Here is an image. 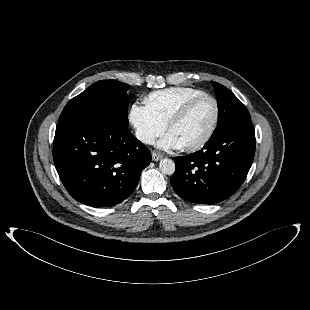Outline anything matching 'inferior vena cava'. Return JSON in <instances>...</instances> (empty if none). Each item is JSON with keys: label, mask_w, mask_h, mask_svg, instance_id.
<instances>
[{"label": "inferior vena cava", "mask_w": 310, "mask_h": 310, "mask_svg": "<svg viewBox=\"0 0 310 310\" xmlns=\"http://www.w3.org/2000/svg\"><path fill=\"white\" fill-rule=\"evenodd\" d=\"M136 137L140 141H142L145 144H154L155 143V136L146 132H143L141 130L136 131Z\"/></svg>", "instance_id": "obj_1"}]
</instances>
